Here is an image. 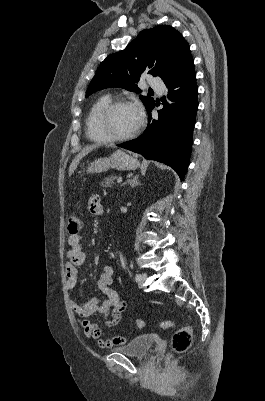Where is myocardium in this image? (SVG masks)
Instances as JSON below:
<instances>
[{"instance_id": "obj_1", "label": "myocardium", "mask_w": 265, "mask_h": 401, "mask_svg": "<svg viewBox=\"0 0 265 401\" xmlns=\"http://www.w3.org/2000/svg\"><path fill=\"white\" fill-rule=\"evenodd\" d=\"M122 105H132V102H130L127 99L111 100L103 108H101V110L98 112V114L95 118V122H94L95 130L101 136L102 140L105 142L125 141V140L132 138L133 136H135L137 134V132L139 131V129L143 123L144 116L141 114L138 119V123H137L136 127L128 134L121 135V136L109 135L105 130L104 121H105L106 117L116 107H119Z\"/></svg>"}]
</instances>
